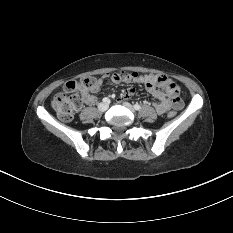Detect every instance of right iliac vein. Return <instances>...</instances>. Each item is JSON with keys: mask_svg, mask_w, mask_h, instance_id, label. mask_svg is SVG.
<instances>
[{"mask_svg": "<svg viewBox=\"0 0 233 233\" xmlns=\"http://www.w3.org/2000/svg\"><path fill=\"white\" fill-rule=\"evenodd\" d=\"M109 105L107 103H100L98 105V109L102 112L106 111L108 109Z\"/></svg>", "mask_w": 233, "mask_h": 233, "instance_id": "1", "label": "right iliac vein"}]
</instances>
